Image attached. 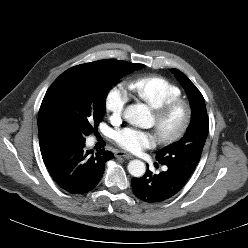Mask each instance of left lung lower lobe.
<instances>
[{
    "label": "left lung lower lobe",
    "mask_w": 248,
    "mask_h": 248,
    "mask_svg": "<svg viewBox=\"0 0 248 248\" xmlns=\"http://www.w3.org/2000/svg\"><path fill=\"white\" fill-rule=\"evenodd\" d=\"M187 180L173 167H168L167 171L158 175H152L147 169L143 177L132 179V189L138 199L158 203L176 195Z\"/></svg>",
    "instance_id": "left-lung-lower-lobe-1"
}]
</instances>
